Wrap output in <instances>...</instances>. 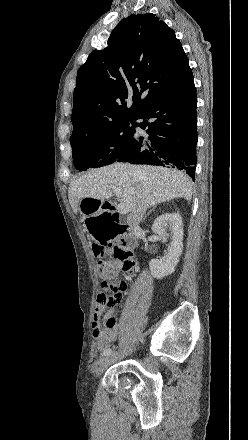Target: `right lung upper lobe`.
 <instances>
[{
  "label": "right lung upper lobe",
  "instance_id": "right-lung-upper-lobe-1",
  "mask_svg": "<svg viewBox=\"0 0 248 440\" xmlns=\"http://www.w3.org/2000/svg\"><path fill=\"white\" fill-rule=\"evenodd\" d=\"M193 81L174 31L155 14L130 15L77 73L72 136L106 130L132 118L148 101ZM133 104L127 108V100Z\"/></svg>",
  "mask_w": 248,
  "mask_h": 440
}]
</instances>
